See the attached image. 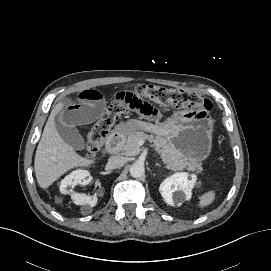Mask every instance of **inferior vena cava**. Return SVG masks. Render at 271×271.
I'll return each instance as SVG.
<instances>
[{
	"label": "inferior vena cava",
	"mask_w": 271,
	"mask_h": 271,
	"mask_svg": "<svg viewBox=\"0 0 271 271\" xmlns=\"http://www.w3.org/2000/svg\"><path fill=\"white\" fill-rule=\"evenodd\" d=\"M127 162V158L123 156H111L108 159V167L111 169H115L123 166Z\"/></svg>",
	"instance_id": "602c4592"
}]
</instances>
